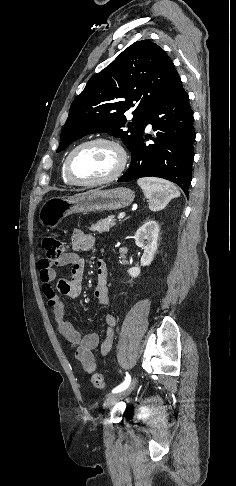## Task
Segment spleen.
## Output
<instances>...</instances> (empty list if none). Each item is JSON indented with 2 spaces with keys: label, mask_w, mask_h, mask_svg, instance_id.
<instances>
[{
  "label": "spleen",
  "mask_w": 236,
  "mask_h": 486,
  "mask_svg": "<svg viewBox=\"0 0 236 486\" xmlns=\"http://www.w3.org/2000/svg\"><path fill=\"white\" fill-rule=\"evenodd\" d=\"M137 184L143 190L145 197L149 199V209L151 211L163 209L171 199L180 196L176 186L163 179L154 177L140 178Z\"/></svg>",
  "instance_id": "1"
}]
</instances>
